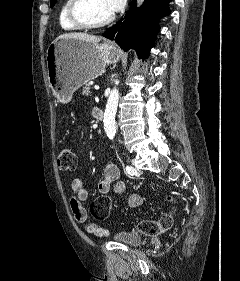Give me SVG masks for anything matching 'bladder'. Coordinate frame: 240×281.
<instances>
[{
  "mask_svg": "<svg viewBox=\"0 0 240 281\" xmlns=\"http://www.w3.org/2000/svg\"><path fill=\"white\" fill-rule=\"evenodd\" d=\"M113 240L127 246L137 247L143 243L144 235L134 231H121L114 235Z\"/></svg>",
  "mask_w": 240,
  "mask_h": 281,
  "instance_id": "obj_1",
  "label": "bladder"
}]
</instances>
